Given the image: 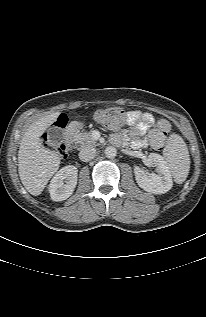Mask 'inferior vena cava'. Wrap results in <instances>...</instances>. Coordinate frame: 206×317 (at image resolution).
Listing matches in <instances>:
<instances>
[{
    "label": "inferior vena cava",
    "instance_id": "1",
    "mask_svg": "<svg viewBox=\"0 0 206 317\" xmlns=\"http://www.w3.org/2000/svg\"><path fill=\"white\" fill-rule=\"evenodd\" d=\"M96 149L93 147H85L79 152V158L83 162H88L95 158Z\"/></svg>",
    "mask_w": 206,
    "mask_h": 317
}]
</instances>
